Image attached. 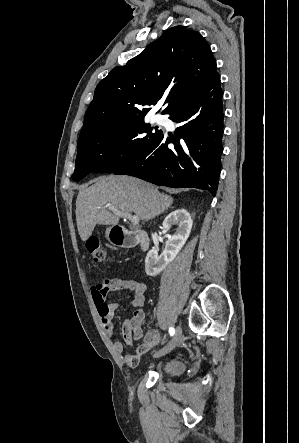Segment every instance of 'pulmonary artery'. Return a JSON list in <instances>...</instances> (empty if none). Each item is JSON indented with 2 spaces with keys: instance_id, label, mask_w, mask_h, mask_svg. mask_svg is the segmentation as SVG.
<instances>
[{
  "instance_id": "1",
  "label": "pulmonary artery",
  "mask_w": 299,
  "mask_h": 443,
  "mask_svg": "<svg viewBox=\"0 0 299 443\" xmlns=\"http://www.w3.org/2000/svg\"><path fill=\"white\" fill-rule=\"evenodd\" d=\"M153 119H154V121H156V122H160V121L162 120V116H160V115H154V116H153Z\"/></svg>"
}]
</instances>
